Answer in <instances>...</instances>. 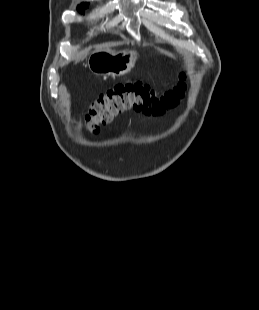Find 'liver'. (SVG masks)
<instances>
[{
  "label": "liver",
  "instance_id": "6515ba94",
  "mask_svg": "<svg viewBox=\"0 0 259 310\" xmlns=\"http://www.w3.org/2000/svg\"><path fill=\"white\" fill-rule=\"evenodd\" d=\"M85 52H86V51H83L82 53H80L79 58L77 59L76 63L79 62V61L82 59V56H83V54H84Z\"/></svg>",
  "mask_w": 259,
  "mask_h": 310
}]
</instances>
